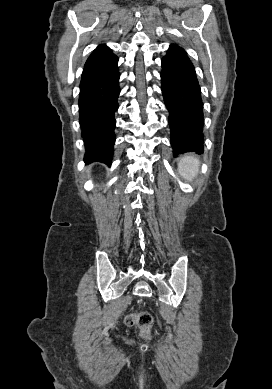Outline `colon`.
<instances>
[{"label":"colon","instance_id":"colon-1","mask_svg":"<svg viewBox=\"0 0 272 389\" xmlns=\"http://www.w3.org/2000/svg\"><path fill=\"white\" fill-rule=\"evenodd\" d=\"M124 321L127 326H137L140 329V335L143 338H151L153 318L149 313H131L125 317Z\"/></svg>","mask_w":272,"mask_h":389}]
</instances>
